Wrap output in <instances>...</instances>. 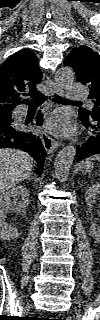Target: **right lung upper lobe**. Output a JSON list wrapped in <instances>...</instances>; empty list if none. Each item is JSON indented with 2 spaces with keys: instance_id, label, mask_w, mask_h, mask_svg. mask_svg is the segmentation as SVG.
I'll list each match as a JSON object with an SVG mask.
<instances>
[{
  "instance_id": "cb5924a9",
  "label": "right lung upper lobe",
  "mask_w": 100,
  "mask_h": 320,
  "mask_svg": "<svg viewBox=\"0 0 100 320\" xmlns=\"http://www.w3.org/2000/svg\"><path fill=\"white\" fill-rule=\"evenodd\" d=\"M41 78L37 58L29 49L18 51L0 66V120L11 119L12 110L27 103L23 96L41 95L35 88Z\"/></svg>"
}]
</instances>
